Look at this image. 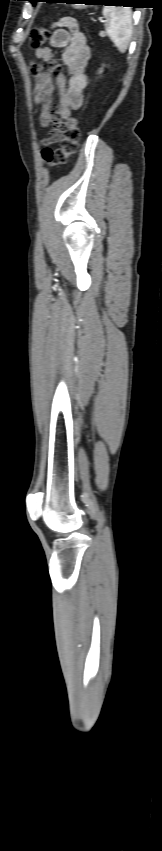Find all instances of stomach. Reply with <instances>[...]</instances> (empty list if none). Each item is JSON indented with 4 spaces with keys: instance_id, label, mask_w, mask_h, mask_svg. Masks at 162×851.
<instances>
[{
    "instance_id": "stomach-1",
    "label": "stomach",
    "mask_w": 162,
    "mask_h": 851,
    "mask_svg": "<svg viewBox=\"0 0 162 851\" xmlns=\"http://www.w3.org/2000/svg\"><path fill=\"white\" fill-rule=\"evenodd\" d=\"M84 2H89V1H88V0H72V1H68V3H73V6H74V7H76V8H80L82 5H81V4H75V3H84Z\"/></svg>"
}]
</instances>
